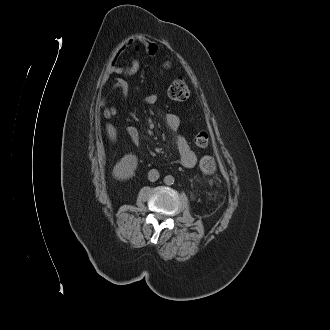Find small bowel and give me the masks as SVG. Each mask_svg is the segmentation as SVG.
I'll return each mask as SVG.
<instances>
[{
    "label": "small bowel",
    "mask_w": 330,
    "mask_h": 330,
    "mask_svg": "<svg viewBox=\"0 0 330 330\" xmlns=\"http://www.w3.org/2000/svg\"><path fill=\"white\" fill-rule=\"evenodd\" d=\"M132 44V42H130ZM121 55V50H116L110 60L108 71L109 73H114L117 75H133L138 71L139 64L137 61H133L130 66L125 67H119L117 66V60ZM117 86L123 90H126L128 85L127 82L124 79H119L117 81ZM154 98L152 96H149L146 98V103L153 104ZM166 125L167 127L173 131L177 132L180 125L179 118L174 114H168L166 116ZM176 146L180 155V161L181 164L186 168H191L196 164L197 157L195 153L190 149V146L186 140V138L178 134L175 139Z\"/></svg>",
    "instance_id": "c3829d8e"
}]
</instances>
